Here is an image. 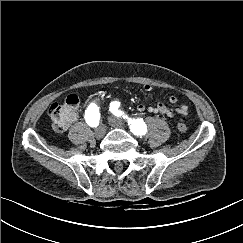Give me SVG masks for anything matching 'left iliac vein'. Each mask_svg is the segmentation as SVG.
I'll list each match as a JSON object with an SVG mask.
<instances>
[{"instance_id": "left-iliac-vein-1", "label": "left iliac vein", "mask_w": 243, "mask_h": 243, "mask_svg": "<svg viewBox=\"0 0 243 243\" xmlns=\"http://www.w3.org/2000/svg\"><path fill=\"white\" fill-rule=\"evenodd\" d=\"M108 122L114 128H124V123L113 115L108 117Z\"/></svg>"}]
</instances>
